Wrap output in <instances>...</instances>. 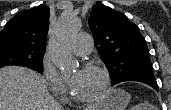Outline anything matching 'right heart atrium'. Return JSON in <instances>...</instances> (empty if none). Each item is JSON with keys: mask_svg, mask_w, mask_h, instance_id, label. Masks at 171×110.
Here are the masks:
<instances>
[{"mask_svg": "<svg viewBox=\"0 0 171 110\" xmlns=\"http://www.w3.org/2000/svg\"><path fill=\"white\" fill-rule=\"evenodd\" d=\"M42 76L54 96L61 98L65 95L64 81L48 55L42 59Z\"/></svg>", "mask_w": 171, "mask_h": 110, "instance_id": "d8ad5b80", "label": "right heart atrium"}]
</instances>
